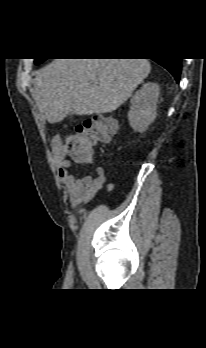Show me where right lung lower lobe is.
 <instances>
[{"label": "right lung lower lobe", "mask_w": 206, "mask_h": 348, "mask_svg": "<svg viewBox=\"0 0 206 348\" xmlns=\"http://www.w3.org/2000/svg\"><path fill=\"white\" fill-rule=\"evenodd\" d=\"M154 61L166 68L174 76L176 82H179L181 74V59H159Z\"/></svg>", "instance_id": "right-lung-lower-lobe-1"}]
</instances>
